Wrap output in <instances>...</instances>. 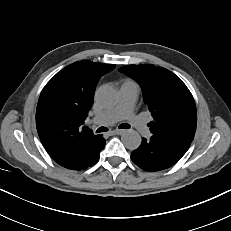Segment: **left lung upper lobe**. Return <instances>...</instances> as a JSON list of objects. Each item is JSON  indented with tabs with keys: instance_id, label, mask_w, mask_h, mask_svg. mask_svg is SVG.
I'll return each mask as SVG.
<instances>
[{
	"instance_id": "obj_1",
	"label": "left lung upper lobe",
	"mask_w": 231,
	"mask_h": 231,
	"mask_svg": "<svg viewBox=\"0 0 231 231\" xmlns=\"http://www.w3.org/2000/svg\"><path fill=\"white\" fill-rule=\"evenodd\" d=\"M119 71L141 86L144 102L153 116L148 124L151 133L189 148L197 113L193 96L182 80L163 67L149 64L126 65Z\"/></svg>"
}]
</instances>
